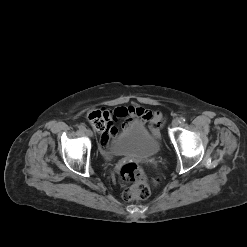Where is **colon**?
Segmentation results:
<instances>
[{
	"label": "colon",
	"instance_id": "1",
	"mask_svg": "<svg viewBox=\"0 0 247 247\" xmlns=\"http://www.w3.org/2000/svg\"><path fill=\"white\" fill-rule=\"evenodd\" d=\"M88 120L94 129L106 132L108 118L104 112L93 111L88 115ZM119 173L123 181L132 184L123 192V199L125 201L146 199L150 195V187L145 173L136 163L129 162L121 165Z\"/></svg>",
	"mask_w": 247,
	"mask_h": 247
}]
</instances>
